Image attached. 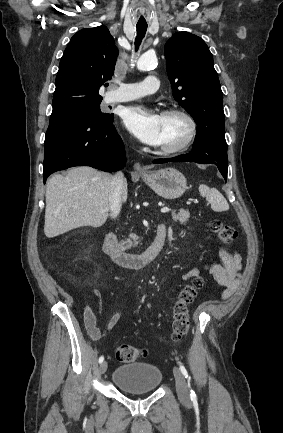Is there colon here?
<instances>
[{
	"instance_id": "obj_1",
	"label": "colon",
	"mask_w": 283,
	"mask_h": 433,
	"mask_svg": "<svg viewBox=\"0 0 283 433\" xmlns=\"http://www.w3.org/2000/svg\"><path fill=\"white\" fill-rule=\"evenodd\" d=\"M211 227L216 237L225 244H230L237 238L236 229L220 220H214ZM202 286L203 279L196 278L178 292L173 308L172 338L174 341H181L188 333L189 306L195 300ZM146 354L147 351L144 348L128 344H119L115 348V356L122 362H134Z\"/></svg>"
}]
</instances>
